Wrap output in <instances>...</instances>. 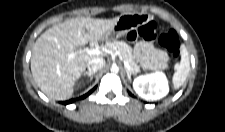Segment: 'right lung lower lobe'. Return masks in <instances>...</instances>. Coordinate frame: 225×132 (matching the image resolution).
<instances>
[{
    "mask_svg": "<svg viewBox=\"0 0 225 132\" xmlns=\"http://www.w3.org/2000/svg\"><path fill=\"white\" fill-rule=\"evenodd\" d=\"M94 89L95 88H93L91 91H89L87 94H85V95H83L82 97H81V99H84L85 97H87L89 94H91L93 91H94ZM73 102V100H68V101H65V102H63V104H70V103H72Z\"/></svg>",
    "mask_w": 225,
    "mask_h": 132,
    "instance_id": "98d812e1",
    "label": "right lung lower lobe"
}]
</instances>
